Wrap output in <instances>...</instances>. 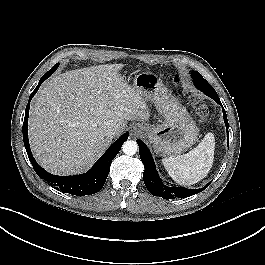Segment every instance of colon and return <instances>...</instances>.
Instances as JSON below:
<instances>
[{"mask_svg":"<svg viewBox=\"0 0 265 265\" xmlns=\"http://www.w3.org/2000/svg\"><path fill=\"white\" fill-rule=\"evenodd\" d=\"M190 102H191L192 110H193L195 117L199 121L206 120L208 117V114H209V109H208L207 105L205 103L198 101V100H195L193 98L190 99Z\"/></svg>","mask_w":265,"mask_h":265,"instance_id":"obj_1","label":"colon"}]
</instances>
